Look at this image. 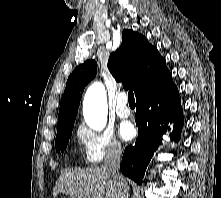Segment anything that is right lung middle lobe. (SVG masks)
Instances as JSON below:
<instances>
[{
    "mask_svg": "<svg viewBox=\"0 0 221 198\" xmlns=\"http://www.w3.org/2000/svg\"><path fill=\"white\" fill-rule=\"evenodd\" d=\"M72 129L73 126L57 132L55 139V148L57 152H63L66 149L72 134Z\"/></svg>",
    "mask_w": 221,
    "mask_h": 198,
    "instance_id": "1",
    "label": "right lung middle lobe"
}]
</instances>
